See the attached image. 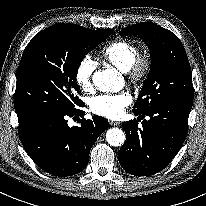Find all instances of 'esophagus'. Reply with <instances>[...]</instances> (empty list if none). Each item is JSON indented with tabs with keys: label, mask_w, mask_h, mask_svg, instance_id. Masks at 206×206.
Returning <instances> with one entry per match:
<instances>
[{
	"label": "esophagus",
	"mask_w": 206,
	"mask_h": 206,
	"mask_svg": "<svg viewBox=\"0 0 206 206\" xmlns=\"http://www.w3.org/2000/svg\"><path fill=\"white\" fill-rule=\"evenodd\" d=\"M110 124L112 126H118L120 124V122H117V121H110Z\"/></svg>",
	"instance_id": "1"
}]
</instances>
